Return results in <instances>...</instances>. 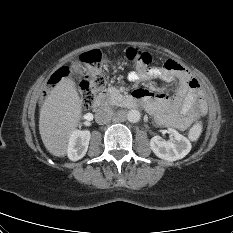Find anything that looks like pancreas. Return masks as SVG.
Segmentation results:
<instances>
[{"label":"pancreas","mask_w":233,"mask_h":233,"mask_svg":"<svg viewBox=\"0 0 233 233\" xmlns=\"http://www.w3.org/2000/svg\"><path fill=\"white\" fill-rule=\"evenodd\" d=\"M108 96L110 102L114 105H122L126 102V98L114 87L108 89Z\"/></svg>","instance_id":"cf45deb5"}]
</instances>
